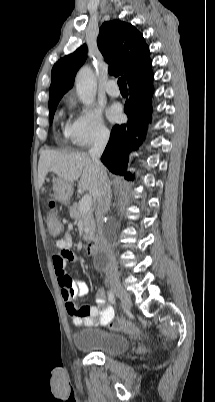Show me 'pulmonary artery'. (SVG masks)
Here are the masks:
<instances>
[{"mask_svg": "<svg viewBox=\"0 0 215 402\" xmlns=\"http://www.w3.org/2000/svg\"><path fill=\"white\" fill-rule=\"evenodd\" d=\"M105 90L110 96L118 97L120 95V90L115 80H109L105 84Z\"/></svg>", "mask_w": 215, "mask_h": 402, "instance_id": "1", "label": "pulmonary artery"}]
</instances>
